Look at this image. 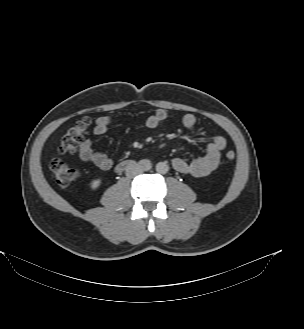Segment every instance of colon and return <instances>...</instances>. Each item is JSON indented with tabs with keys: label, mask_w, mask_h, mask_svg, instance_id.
<instances>
[{
	"label": "colon",
	"mask_w": 304,
	"mask_h": 329,
	"mask_svg": "<svg viewBox=\"0 0 304 329\" xmlns=\"http://www.w3.org/2000/svg\"><path fill=\"white\" fill-rule=\"evenodd\" d=\"M90 125V119L84 118L69 128L60 139L58 147L59 153H73L78 143L89 130ZM224 156L227 161L231 162L235 159L236 154L233 150L229 149L225 152ZM50 169L56 183L63 187L70 185L79 177L78 169L67 165L60 159H53L50 163Z\"/></svg>",
	"instance_id": "colon-1"
}]
</instances>
